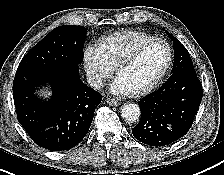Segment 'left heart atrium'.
I'll use <instances>...</instances> for the list:
<instances>
[{
	"label": "left heart atrium",
	"mask_w": 224,
	"mask_h": 175,
	"mask_svg": "<svg viewBox=\"0 0 224 175\" xmlns=\"http://www.w3.org/2000/svg\"><path fill=\"white\" fill-rule=\"evenodd\" d=\"M110 90L114 94H128L130 89L117 77L110 86Z\"/></svg>",
	"instance_id": "39dd6f15"
}]
</instances>
